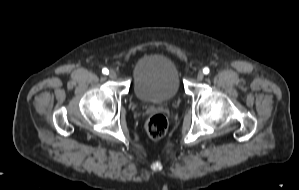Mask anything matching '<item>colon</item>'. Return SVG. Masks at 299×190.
<instances>
[{
  "label": "colon",
  "instance_id": "colon-1",
  "mask_svg": "<svg viewBox=\"0 0 299 190\" xmlns=\"http://www.w3.org/2000/svg\"><path fill=\"white\" fill-rule=\"evenodd\" d=\"M168 121L161 113L151 115L146 122V132L152 139L162 138L167 131Z\"/></svg>",
  "mask_w": 299,
  "mask_h": 190
}]
</instances>
